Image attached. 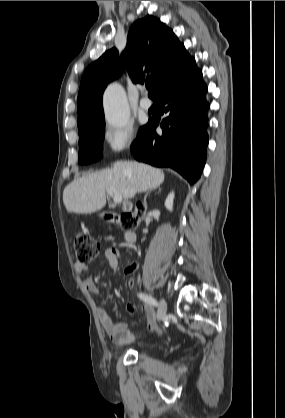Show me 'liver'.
Segmentation results:
<instances>
[{
  "mask_svg": "<svg viewBox=\"0 0 285 418\" xmlns=\"http://www.w3.org/2000/svg\"><path fill=\"white\" fill-rule=\"evenodd\" d=\"M164 181V172L144 163L116 161L109 169L71 182L63 191V202L70 213L91 214L106 205V193L115 190L124 200L155 189Z\"/></svg>",
  "mask_w": 285,
  "mask_h": 418,
  "instance_id": "obj_1",
  "label": "liver"
}]
</instances>
